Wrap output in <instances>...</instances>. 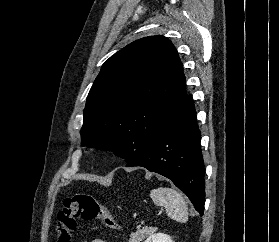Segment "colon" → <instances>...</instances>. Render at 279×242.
I'll list each match as a JSON object with an SVG mask.
<instances>
[{"label": "colon", "mask_w": 279, "mask_h": 242, "mask_svg": "<svg viewBox=\"0 0 279 242\" xmlns=\"http://www.w3.org/2000/svg\"><path fill=\"white\" fill-rule=\"evenodd\" d=\"M78 219L85 221L98 219L107 227H119L112 213L93 195L78 193L67 197L57 214L58 242H72V231L77 227Z\"/></svg>", "instance_id": "5ec220e1"}]
</instances>
